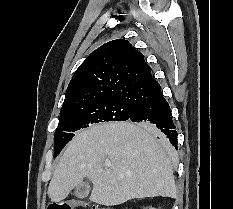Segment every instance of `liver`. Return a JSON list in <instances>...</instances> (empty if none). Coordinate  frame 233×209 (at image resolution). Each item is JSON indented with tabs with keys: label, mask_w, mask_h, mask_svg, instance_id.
I'll use <instances>...</instances> for the list:
<instances>
[{
	"label": "liver",
	"mask_w": 233,
	"mask_h": 209,
	"mask_svg": "<svg viewBox=\"0 0 233 209\" xmlns=\"http://www.w3.org/2000/svg\"><path fill=\"white\" fill-rule=\"evenodd\" d=\"M156 135L152 126L132 122L98 124L77 133L50 181L51 201L64 200L84 178L93 183L90 201L105 206L134 198H176L171 160Z\"/></svg>",
	"instance_id": "obj_1"
}]
</instances>
